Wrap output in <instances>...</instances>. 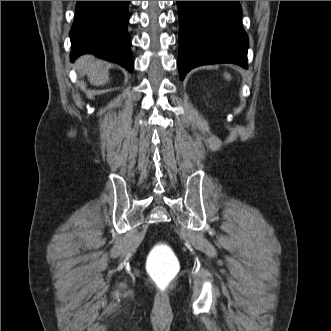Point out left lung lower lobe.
Segmentation results:
<instances>
[{
	"instance_id": "1",
	"label": "left lung lower lobe",
	"mask_w": 331,
	"mask_h": 331,
	"mask_svg": "<svg viewBox=\"0 0 331 331\" xmlns=\"http://www.w3.org/2000/svg\"><path fill=\"white\" fill-rule=\"evenodd\" d=\"M179 16L180 79L193 68L234 63L248 68V36L239 1H176Z\"/></svg>"
}]
</instances>
